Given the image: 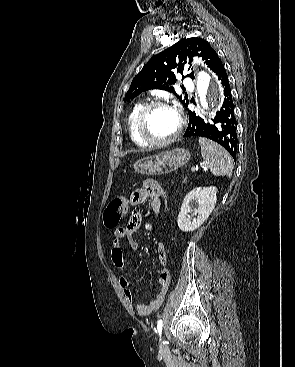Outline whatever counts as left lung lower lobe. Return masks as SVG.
Returning <instances> with one entry per match:
<instances>
[{
    "instance_id": "1",
    "label": "left lung lower lobe",
    "mask_w": 295,
    "mask_h": 367,
    "mask_svg": "<svg viewBox=\"0 0 295 367\" xmlns=\"http://www.w3.org/2000/svg\"><path fill=\"white\" fill-rule=\"evenodd\" d=\"M221 80L224 88V101L222 107L216 112L212 120L214 124L206 123L201 117L188 110L189 124L184 137H205L222 145L236 159L237 152V123L234 114V105L231 89L224 65L218 59L213 70Z\"/></svg>"
}]
</instances>
